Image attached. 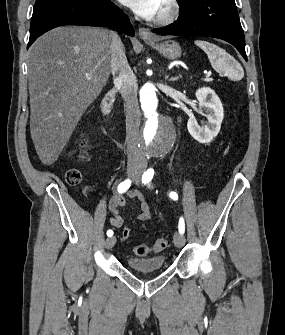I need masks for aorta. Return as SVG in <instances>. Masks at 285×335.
<instances>
[{"label":"aorta","instance_id":"obj_1","mask_svg":"<svg viewBox=\"0 0 285 335\" xmlns=\"http://www.w3.org/2000/svg\"><path fill=\"white\" fill-rule=\"evenodd\" d=\"M142 112L147 114L145 125L137 128V137H140L139 147L144 156H165L174 147L175 137H178L176 126L172 119H164L163 102L166 95H160L153 84H145L141 90H136Z\"/></svg>","mask_w":285,"mask_h":335}]
</instances>
